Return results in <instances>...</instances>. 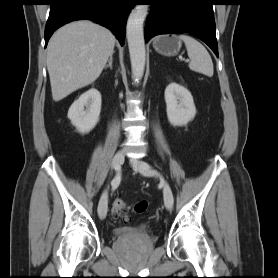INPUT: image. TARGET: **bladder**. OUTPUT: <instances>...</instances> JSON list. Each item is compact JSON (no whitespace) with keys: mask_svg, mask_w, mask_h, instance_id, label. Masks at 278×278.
<instances>
[{"mask_svg":"<svg viewBox=\"0 0 278 278\" xmlns=\"http://www.w3.org/2000/svg\"><path fill=\"white\" fill-rule=\"evenodd\" d=\"M114 234L120 238H129L138 235V232L126 227L116 228Z\"/></svg>","mask_w":278,"mask_h":278,"instance_id":"bladder-1","label":"bladder"}]
</instances>
